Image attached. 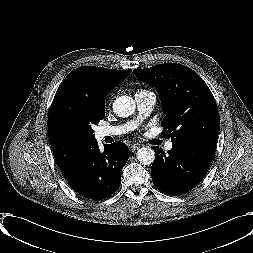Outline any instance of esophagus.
<instances>
[{"mask_svg": "<svg viewBox=\"0 0 253 253\" xmlns=\"http://www.w3.org/2000/svg\"><path fill=\"white\" fill-rule=\"evenodd\" d=\"M139 148H140L139 145L133 144V145L130 146V151H131V152H135V151L138 150Z\"/></svg>", "mask_w": 253, "mask_h": 253, "instance_id": "obj_1", "label": "esophagus"}]
</instances>
